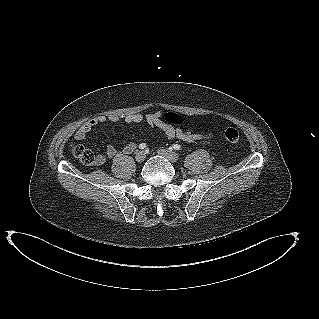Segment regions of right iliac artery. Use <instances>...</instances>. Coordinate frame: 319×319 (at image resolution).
Instances as JSON below:
<instances>
[{
    "label": "right iliac artery",
    "mask_w": 319,
    "mask_h": 319,
    "mask_svg": "<svg viewBox=\"0 0 319 319\" xmlns=\"http://www.w3.org/2000/svg\"><path fill=\"white\" fill-rule=\"evenodd\" d=\"M147 145L145 143L139 144V149H145Z\"/></svg>",
    "instance_id": "right-iliac-artery-1"
}]
</instances>
